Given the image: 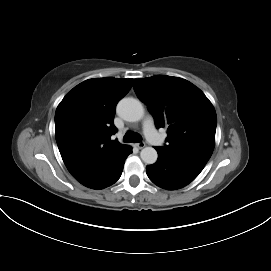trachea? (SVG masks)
<instances>
[{"mask_svg": "<svg viewBox=\"0 0 271 271\" xmlns=\"http://www.w3.org/2000/svg\"><path fill=\"white\" fill-rule=\"evenodd\" d=\"M142 139L141 135L132 131H128L125 135H124V142L126 143H137L140 142Z\"/></svg>", "mask_w": 271, "mask_h": 271, "instance_id": "trachea-1", "label": "trachea"}]
</instances>
